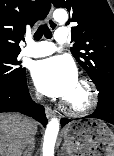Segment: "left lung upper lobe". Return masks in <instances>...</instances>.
Listing matches in <instances>:
<instances>
[{
	"label": "left lung upper lobe",
	"mask_w": 114,
	"mask_h": 156,
	"mask_svg": "<svg viewBox=\"0 0 114 156\" xmlns=\"http://www.w3.org/2000/svg\"><path fill=\"white\" fill-rule=\"evenodd\" d=\"M64 7L71 20V48L77 62L86 70L99 94L114 88V15L106 0H52Z\"/></svg>",
	"instance_id": "obj_1"
}]
</instances>
